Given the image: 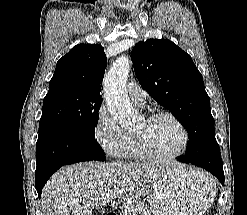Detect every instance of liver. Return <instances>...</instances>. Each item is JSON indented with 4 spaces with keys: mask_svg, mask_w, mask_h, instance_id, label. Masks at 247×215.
<instances>
[{
    "mask_svg": "<svg viewBox=\"0 0 247 215\" xmlns=\"http://www.w3.org/2000/svg\"><path fill=\"white\" fill-rule=\"evenodd\" d=\"M176 162L142 164L86 162L61 168L46 183L42 205L46 215H92L110 199L124 206L151 192ZM114 195L106 199L107 192Z\"/></svg>",
    "mask_w": 247,
    "mask_h": 215,
    "instance_id": "1",
    "label": "liver"
}]
</instances>
